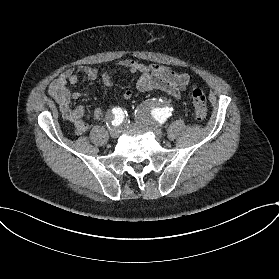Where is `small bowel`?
Segmentation results:
<instances>
[{"label": "small bowel", "instance_id": "small-bowel-1", "mask_svg": "<svg viewBox=\"0 0 279 279\" xmlns=\"http://www.w3.org/2000/svg\"><path fill=\"white\" fill-rule=\"evenodd\" d=\"M118 66L140 75L137 87L142 92H164L177 99L182 90L189 82L190 76L187 73H177L171 68L160 64H145L133 59H124L117 63ZM78 70L89 80L93 81L99 77L98 70L90 66H80ZM106 87H112L113 81L108 72L100 75ZM79 81L74 68H69L61 73L49 86V95L57 102L64 121L72 125L77 135H83L88 130V122L83 108H71V101L86 96L85 92L70 93L67 85H75ZM124 100L132 98L130 90L122 92ZM104 113L101 108L91 113V118L99 119Z\"/></svg>", "mask_w": 279, "mask_h": 279}]
</instances>
